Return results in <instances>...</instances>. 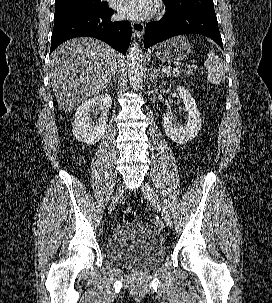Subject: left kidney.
I'll return each instance as SVG.
<instances>
[{"label": "left kidney", "instance_id": "left-kidney-1", "mask_svg": "<svg viewBox=\"0 0 272 303\" xmlns=\"http://www.w3.org/2000/svg\"><path fill=\"white\" fill-rule=\"evenodd\" d=\"M177 93L184 102V110L188 112L187 121L176 125L168 112L163 114V128L166 135L178 144H184L194 139L201 130V116L195 100L185 87H177Z\"/></svg>", "mask_w": 272, "mask_h": 303}]
</instances>
